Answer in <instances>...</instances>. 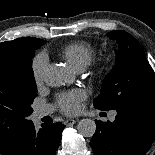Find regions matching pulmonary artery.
Here are the masks:
<instances>
[{"label":"pulmonary artery","instance_id":"obj_1","mask_svg":"<svg viewBox=\"0 0 155 155\" xmlns=\"http://www.w3.org/2000/svg\"><path fill=\"white\" fill-rule=\"evenodd\" d=\"M52 113V107L51 106H42V107H39L37 108L35 111H34V118L36 120H39L47 115H50ZM116 113L113 112L111 114V119H114Z\"/></svg>","mask_w":155,"mask_h":155}]
</instances>
